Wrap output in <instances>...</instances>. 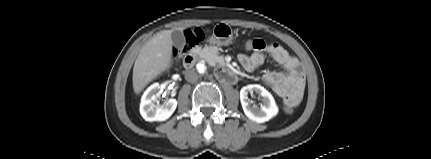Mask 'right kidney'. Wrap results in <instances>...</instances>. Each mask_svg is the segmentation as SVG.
Listing matches in <instances>:
<instances>
[{
  "mask_svg": "<svg viewBox=\"0 0 431 159\" xmlns=\"http://www.w3.org/2000/svg\"><path fill=\"white\" fill-rule=\"evenodd\" d=\"M159 90V83H154L147 88L141 98L140 114L146 121H165L177 107L176 99H169L163 105H155Z\"/></svg>",
  "mask_w": 431,
  "mask_h": 159,
  "instance_id": "ca27d5eb",
  "label": "right kidney"
}]
</instances>
